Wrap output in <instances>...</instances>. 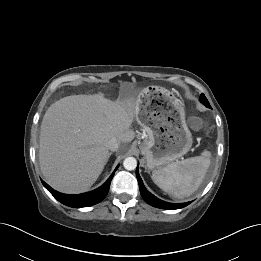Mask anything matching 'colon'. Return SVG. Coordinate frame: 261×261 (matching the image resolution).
<instances>
[{"label":"colon","mask_w":261,"mask_h":261,"mask_svg":"<svg viewBox=\"0 0 261 261\" xmlns=\"http://www.w3.org/2000/svg\"><path fill=\"white\" fill-rule=\"evenodd\" d=\"M190 125L192 128L199 129L203 126V122L200 118L193 116L190 119Z\"/></svg>","instance_id":"obj_1"}]
</instances>
